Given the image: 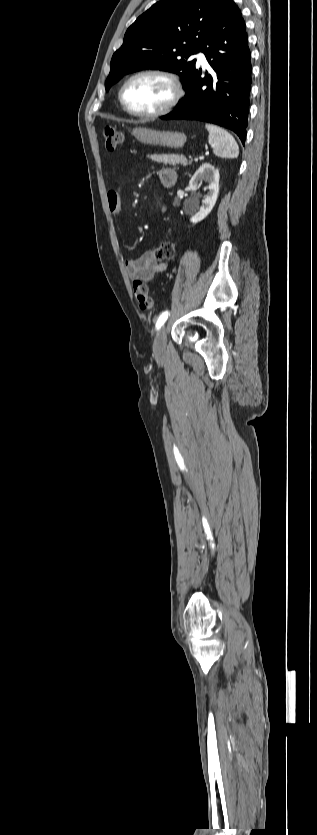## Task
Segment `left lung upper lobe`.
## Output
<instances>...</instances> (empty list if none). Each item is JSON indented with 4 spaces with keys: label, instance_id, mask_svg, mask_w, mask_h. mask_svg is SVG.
Returning <instances> with one entry per match:
<instances>
[{
    "label": "left lung upper lobe",
    "instance_id": "obj_1",
    "mask_svg": "<svg viewBox=\"0 0 317 835\" xmlns=\"http://www.w3.org/2000/svg\"><path fill=\"white\" fill-rule=\"evenodd\" d=\"M232 0H162L127 29L111 60L106 91L125 74L160 69L178 74L185 87L196 70L188 58L210 38Z\"/></svg>",
    "mask_w": 317,
    "mask_h": 835
}]
</instances>
